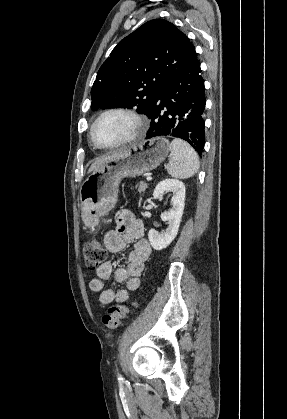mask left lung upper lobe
Wrapping results in <instances>:
<instances>
[{"label":"left lung upper lobe","mask_w":287,"mask_h":419,"mask_svg":"<svg viewBox=\"0 0 287 419\" xmlns=\"http://www.w3.org/2000/svg\"><path fill=\"white\" fill-rule=\"evenodd\" d=\"M196 59L188 37L172 23L148 21L121 40L100 67L91 110L136 107L147 115L161 87Z\"/></svg>","instance_id":"obj_1"}]
</instances>
